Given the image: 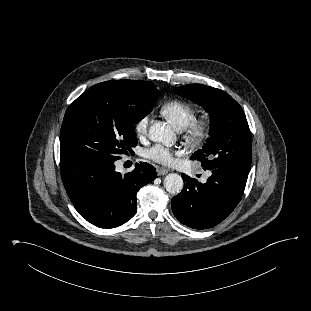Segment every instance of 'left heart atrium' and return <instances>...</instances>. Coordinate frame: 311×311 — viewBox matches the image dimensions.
Instances as JSON below:
<instances>
[{"instance_id": "39dd6f15", "label": "left heart atrium", "mask_w": 311, "mask_h": 311, "mask_svg": "<svg viewBox=\"0 0 311 311\" xmlns=\"http://www.w3.org/2000/svg\"><path fill=\"white\" fill-rule=\"evenodd\" d=\"M176 151L157 144L145 151V156L162 164H170L173 162Z\"/></svg>"}]
</instances>
